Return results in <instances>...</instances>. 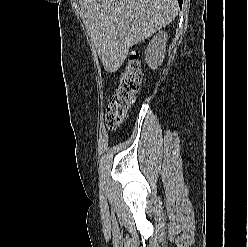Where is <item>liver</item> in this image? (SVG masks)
Instances as JSON below:
<instances>
[{
    "label": "liver",
    "mask_w": 248,
    "mask_h": 247,
    "mask_svg": "<svg viewBox=\"0 0 248 247\" xmlns=\"http://www.w3.org/2000/svg\"><path fill=\"white\" fill-rule=\"evenodd\" d=\"M81 17L107 72H116L129 49L170 24L177 0H80Z\"/></svg>",
    "instance_id": "liver-1"
}]
</instances>
